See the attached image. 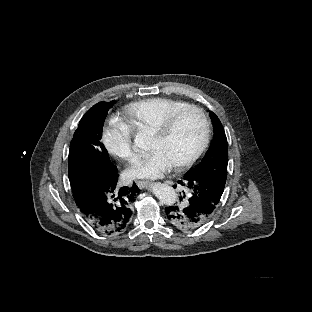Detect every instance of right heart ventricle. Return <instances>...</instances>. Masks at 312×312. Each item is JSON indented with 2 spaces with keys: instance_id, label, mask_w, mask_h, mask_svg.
<instances>
[{
  "instance_id": "e07e8e85",
  "label": "right heart ventricle",
  "mask_w": 312,
  "mask_h": 312,
  "mask_svg": "<svg viewBox=\"0 0 312 312\" xmlns=\"http://www.w3.org/2000/svg\"><path fill=\"white\" fill-rule=\"evenodd\" d=\"M186 96L143 95L129 102V111L133 114V122L144 132L155 131L168 119L181 114L189 108Z\"/></svg>"
}]
</instances>
